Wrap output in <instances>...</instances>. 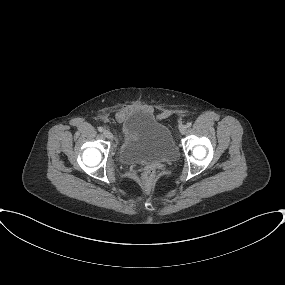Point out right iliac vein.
Instances as JSON below:
<instances>
[{
    "label": "right iliac vein",
    "mask_w": 285,
    "mask_h": 285,
    "mask_svg": "<svg viewBox=\"0 0 285 285\" xmlns=\"http://www.w3.org/2000/svg\"><path fill=\"white\" fill-rule=\"evenodd\" d=\"M103 134L108 139H112L113 138V134L109 130H104Z\"/></svg>",
    "instance_id": "1"
}]
</instances>
